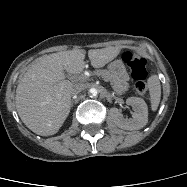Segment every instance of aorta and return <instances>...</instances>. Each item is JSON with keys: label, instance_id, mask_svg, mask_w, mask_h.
<instances>
[{"label": "aorta", "instance_id": "obj_1", "mask_svg": "<svg viewBox=\"0 0 187 187\" xmlns=\"http://www.w3.org/2000/svg\"><path fill=\"white\" fill-rule=\"evenodd\" d=\"M89 92H90V94H92L93 96H96V95L98 94V91H97V89H95V88H91V89L89 90Z\"/></svg>", "mask_w": 187, "mask_h": 187}]
</instances>
